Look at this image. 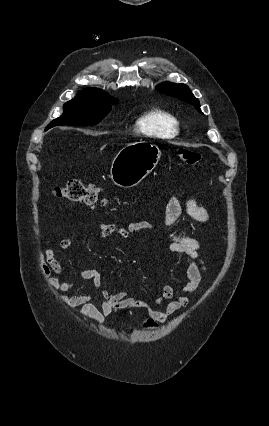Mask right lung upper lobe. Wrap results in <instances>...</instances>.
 Wrapping results in <instances>:
<instances>
[{
    "label": "right lung upper lobe",
    "instance_id": "obj_1",
    "mask_svg": "<svg viewBox=\"0 0 269 426\" xmlns=\"http://www.w3.org/2000/svg\"><path fill=\"white\" fill-rule=\"evenodd\" d=\"M77 96L81 97H91V98H107L113 99L110 97L105 91L97 89V88H87L82 91H79Z\"/></svg>",
    "mask_w": 269,
    "mask_h": 426
}]
</instances>
